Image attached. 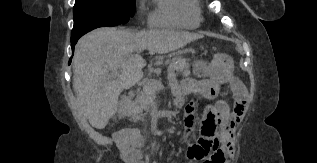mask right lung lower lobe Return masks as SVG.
Returning <instances> with one entry per match:
<instances>
[{
	"mask_svg": "<svg viewBox=\"0 0 317 163\" xmlns=\"http://www.w3.org/2000/svg\"><path fill=\"white\" fill-rule=\"evenodd\" d=\"M79 38H80V37H76V38L71 39L72 53L74 52V46H75V44L77 43V41H78ZM70 62H71V60H70Z\"/></svg>",
	"mask_w": 317,
	"mask_h": 163,
	"instance_id": "1",
	"label": "right lung lower lobe"
}]
</instances>
